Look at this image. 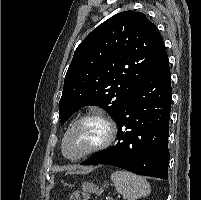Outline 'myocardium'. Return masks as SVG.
<instances>
[{
    "label": "myocardium",
    "instance_id": "myocardium-1",
    "mask_svg": "<svg viewBox=\"0 0 201 200\" xmlns=\"http://www.w3.org/2000/svg\"><path fill=\"white\" fill-rule=\"evenodd\" d=\"M89 120H96L104 126L105 134H104L103 139L99 143H97L95 146L86 150L85 152L81 153L80 155L75 156V157H70L67 154V147H66L67 140H68L70 133L78 124L85 122V121H89ZM116 134H117L116 125H115L114 121L106 113L101 112V111L87 112V113L81 115L80 117H78L77 119H75L70 124L68 129L66 130L63 140H62V153L65 156V158L70 161L80 160L84 157L98 153V152L110 147L116 139Z\"/></svg>",
    "mask_w": 201,
    "mask_h": 200
}]
</instances>
